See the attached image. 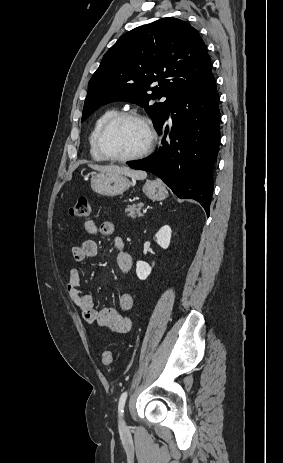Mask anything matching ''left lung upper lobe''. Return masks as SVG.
<instances>
[{
    "instance_id": "1",
    "label": "left lung upper lobe",
    "mask_w": 283,
    "mask_h": 463,
    "mask_svg": "<svg viewBox=\"0 0 283 463\" xmlns=\"http://www.w3.org/2000/svg\"><path fill=\"white\" fill-rule=\"evenodd\" d=\"M210 71L206 46L189 23L168 17L137 27L104 54L88 83L82 121L101 105L127 100L144 107L157 130L174 100ZM161 97L166 101L150 104Z\"/></svg>"
}]
</instances>
